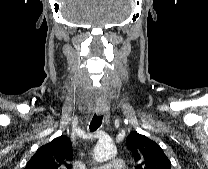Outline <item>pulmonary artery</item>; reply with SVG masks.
I'll return each instance as SVG.
<instances>
[{
  "label": "pulmonary artery",
  "mask_w": 208,
  "mask_h": 169,
  "mask_svg": "<svg viewBox=\"0 0 208 169\" xmlns=\"http://www.w3.org/2000/svg\"><path fill=\"white\" fill-rule=\"evenodd\" d=\"M91 169H126L124 161L121 158H113L103 165L92 167Z\"/></svg>",
  "instance_id": "1"
}]
</instances>
